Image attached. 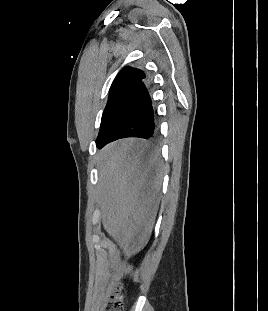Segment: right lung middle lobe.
Segmentation results:
<instances>
[{
	"label": "right lung middle lobe",
	"mask_w": 268,
	"mask_h": 311,
	"mask_svg": "<svg viewBox=\"0 0 268 311\" xmlns=\"http://www.w3.org/2000/svg\"><path fill=\"white\" fill-rule=\"evenodd\" d=\"M134 89L135 86H126L109 93L108 102L102 115L100 131L96 142L100 141L104 137L105 133L110 129L129 101Z\"/></svg>",
	"instance_id": "right-lung-middle-lobe-1"
}]
</instances>
